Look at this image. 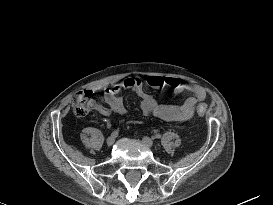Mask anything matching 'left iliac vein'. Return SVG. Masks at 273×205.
Segmentation results:
<instances>
[{
    "instance_id": "4c4485c4",
    "label": "left iliac vein",
    "mask_w": 273,
    "mask_h": 205,
    "mask_svg": "<svg viewBox=\"0 0 273 205\" xmlns=\"http://www.w3.org/2000/svg\"><path fill=\"white\" fill-rule=\"evenodd\" d=\"M143 142L148 146V147H152L153 146V140L147 136L143 137Z\"/></svg>"
}]
</instances>
